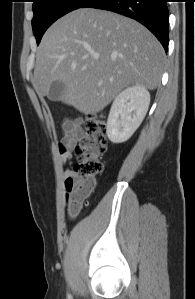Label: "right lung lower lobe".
I'll use <instances>...</instances> for the list:
<instances>
[{
	"mask_svg": "<svg viewBox=\"0 0 195 299\" xmlns=\"http://www.w3.org/2000/svg\"><path fill=\"white\" fill-rule=\"evenodd\" d=\"M168 0H88L82 8L113 11L137 20L147 27L168 50Z\"/></svg>",
	"mask_w": 195,
	"mask_h": 299,
	"instance_id": "98d812e1",
	"label": "right lung lower lobe"
}]
</instances>
